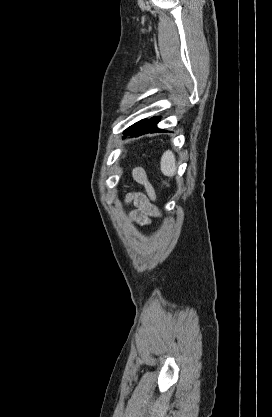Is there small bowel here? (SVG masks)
I'll list each match as a JSON object with an SVG mask.
<instances>
[{
	"instance_id": "obj_1",
	"label": "small bowel",
	"mask_w": 272,
	"mask_h": 417,
	"mask_svg": "<svg viewBox=\"0 0 272 417\" xmlns=\"http://www.w3.org/2000/svg\"><path fill=\"white\" fill-rule=\"evenodd\" d=\"M133 177L138 183L143 185L146 194H134L129 197V200L133 201L137 206V208L130 213V217L134 222L141 226H145L150 224L151 216L158 215V211L152 205V201L155 200L156 194L154 188L147 180L143 169L135 168Z\"/></svg>"
}]
</instances>
